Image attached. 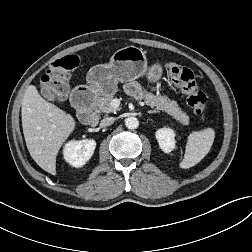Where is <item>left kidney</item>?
<instances>
[{"label": "left kidney", "instance_id": "left-kidney-1", "mask_svg": "<svg viewBox=\"0 0 252 252\" xmlns=\"http://www.w3.org/2000/svg\"><path fill=\"white\" fill-rule=\"evenodd\" d=\"M156 139L160 148L165 153L171 152L175 148V133L170 128H161L156 131Z\"/></svg>", "mask_w": 252, "mask_h": 252}]
</instances>
